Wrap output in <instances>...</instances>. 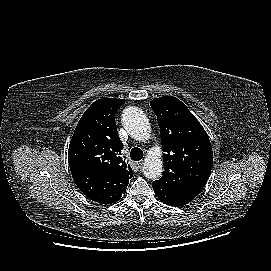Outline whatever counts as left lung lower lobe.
Masks as SVG:
<instances>
[{
	"label": "left lung lower lobe",
	"mask_w": 271,
	"mask_h": 271,
	"mask_svg": "<svg viewBox=\"0 0 271 271\" xmlns=\"http://www.w3.org/2000/svg\"><path fill=\"white\" fill-rule=\"evenodd\" d=\"M152 185L161 202L175 207L189 203L203 189L202 185L189 180L179 172L166 173Z\"/></svg>",
	"instance_id": "obj_1"
}]
</instances>
